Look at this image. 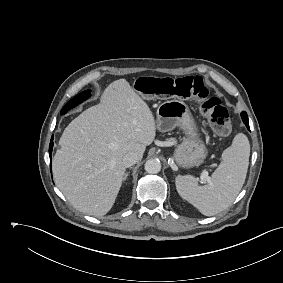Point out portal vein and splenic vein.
Masks as SVG:
<instances>
[{"label": "portal vein and splenic vein", "instance_id": "portal-vein-and-splenic-vein-1", "mask_svg": "<svg viewBox=\"0 0 283 283\" xmlns=\"http://www.w3.org/2000/svg\"><path fill=\"white\" fill-rule=\"evenodd\" d=\"M200 178L202 181H210L207 171H203L200 175Z\"/></svg>", "mask_w": 283, "mask_h": 283}]
</instances>
